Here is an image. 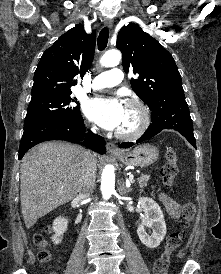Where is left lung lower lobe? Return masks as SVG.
<instances>
[{"mask_svg":"<svg viewBox=\"0 0 221 274\" xmlns=\"http://www.w3.org/2000/svg\"><path fill=\"white\" fill-rule=\"evenodd\" d=\"M163 129H174L180 132L196 148L192 119L186 102L176 103L174 106L166 110H159L155 115H152V124L136 143L152 138ZM119 146L120 148H129L133 146V143L125 142Z\"/></svg>","mask_w":221,"mask_h":274,"instance_id":"1","label":"left lung lower lobe"}]
</instances>
